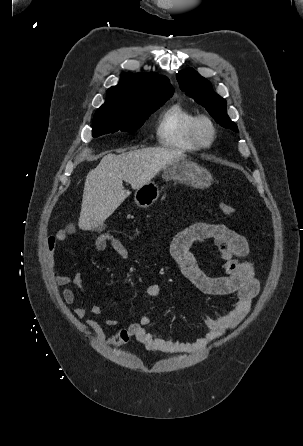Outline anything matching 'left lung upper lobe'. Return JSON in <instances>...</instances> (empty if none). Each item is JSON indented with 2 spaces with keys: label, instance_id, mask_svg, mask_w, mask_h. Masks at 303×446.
I'll use <instances>...</instances> for the list:
<instances>
[{
  "label": "left lung upper lobe",
  "instance_id": "obj_1",
  "mask_svg": "<svg viewBox=\"0 0 303 446\" xmlns=\"http://www.w3.org/2000/svg\"><path fill=\"white\" fill-rule=\"evenodd\" d=\"M177 80L182 91L205 107L217 123L237 131L236 124L227 115L226 101L213 91L211 83L207 79L194 69L187 68L177 73Z\"/></svg>",
  "mask_w": 303,
  "mask_h": 446
}]
</instances>
